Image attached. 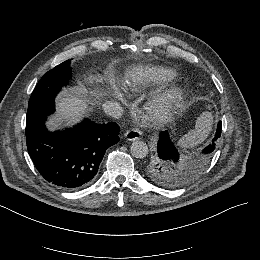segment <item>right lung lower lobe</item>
<instances>
[{"label": "right lung lower lobe", "instance_id": "right-lung-lower-lobe-1", "mask_svg": "<svg viewBox=\"0 0 260 260\" xmlns=\"http://www.w3.org/2000/svg\"><path fill=\"white\" fill-rule=\"evenodd\" d=\"M45 120L26 127L28 153L39 173L64 190L91 184L105 151L119 141V126L115 122L96 124L85 119L73 128L49 132Z\"/></svg>", "mask_w": 260, "mask_h": 260}]
</instances>
